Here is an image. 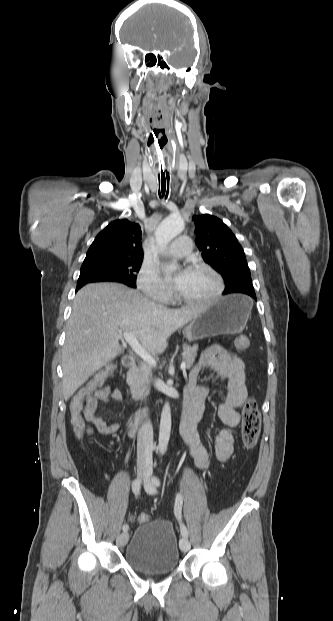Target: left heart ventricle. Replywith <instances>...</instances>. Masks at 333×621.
Returning a JSON list of instances; mask_svg holds the SVG:
<instances>
[{"instance_id": "b2bd125f", "label": "left heart ventricle", "mask_w": 333, "mask_h": 621, "mask_svg": "<svg viewBox=\"0 0 333 621\" xmlns=\"http://www.w3.org/2000/svg\"><path fill=\"white\" fill-rule=\"evenodd\" d=\"M217 289L214 277L205 271L189 270L184 282L177 288L178 292L191 299L210 297Z\"/></svg>"}]
</instances>
